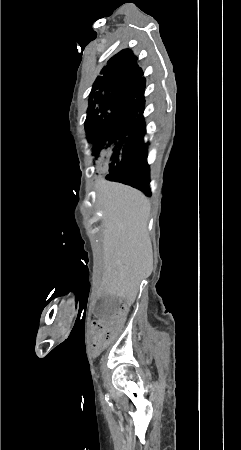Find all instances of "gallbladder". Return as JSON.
Here are the masks:
<instances>
[{
  "label": "gallbladder",
  "mask_w": 241,
  "mask_h": 450,
  "mask_svg": "<svg viewBox=\"0 0 241 450\" xmlns=\"http://www.w3.org/2000/svg\"><path fill=\"white\" fill-rule=\"evenodd\" d=\"M117 304L109 296H101L97 303L94 317L98 320H111L114 317Z\"/></svg>",
  "instance_id": "obj_1"
}]
</instances>
